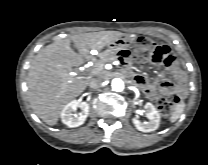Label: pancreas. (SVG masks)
<instances>
[{"instance_id":"obj_1","label":"pancreas","mask_w":208,"mask_h":165,"mask_svg":"<svg viewBox=\"0 0 208 165\" xmlns=\"http://www.w3.org/2000/svg\"><path fill=\"white\" fill-rule=\"evenodd\" d=\"M116 59H117V56L115 55L114 52L110 50H105L99 55V60L95 64L96 71L97 72L102 71L105 63L115 61Z\"/></svg>"}]
</instances>
